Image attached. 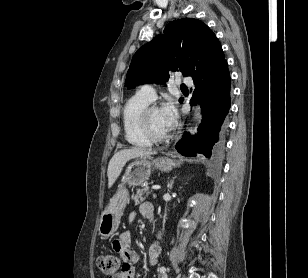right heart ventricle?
Segmentation results:
<instances>
[{"mask_svg":"<svg viewBox=\"0 0 308 278\" xmlns=\"http://www.w3.org/2000/svg\"><path fill=\"white\" fill-rule=\"evenodd\" d=\"M150 104L146 98L136 93L130 97L122 110V123L126 141L138 148H146L151 145V141L143 134L139 126L140 112Z\"/></svg>","mask_w":308,"mask_h":278,"instance_id":"right-heart-ventricle-1","label":"right heart ventricle"}]
</instances>
